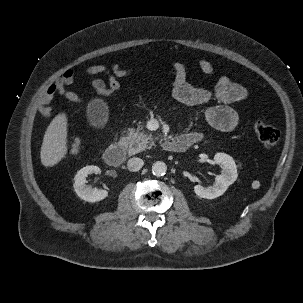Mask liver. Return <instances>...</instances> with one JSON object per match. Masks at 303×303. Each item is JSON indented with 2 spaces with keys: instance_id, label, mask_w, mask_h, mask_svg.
I'll list each match as a JSON object with an SVG mask.
<instances>
[{
  "instance_id": "obj_1",
  "label": "liver",
  "mask_w": 303,
  "mask_h": 303,
  "mask_svg": "<svg viewBox=\"0 0 303 303\" xmlns=\"http://www.w3.org/2000/svg\"><path fill=\"white\" fill-rule=\"evenodd\" d=\"M67 119L66 113H59L47 127L40 151L41 163L45 167H53L57 165L67 155Z\"/></svg>"
}]
</instances>
